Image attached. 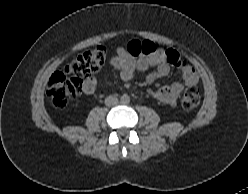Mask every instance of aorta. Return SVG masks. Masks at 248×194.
Here are the masks:
<instances>
[{
    "label": "aorta",
    "mask_w": 248,
    "mask_h": 194,
    "mask_svg": "<svg viewBox=\"0 0 248 194\" xmlns=\"http://www.w3.org/2000/svg\"><path fill=\"white\" fill-rule=\"evenodd\" d=\"M120 102H121V104H124V105L129 104L130 97L127 94H124V95L121 96Z\"/></svg>",
    "instance_id": "1"
}]
</instances>
